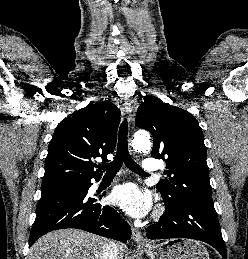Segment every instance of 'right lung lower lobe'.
<instances>
[{"label": "right lung lower lobe", "mask_w": 248, "mask_h": 259, "mask_svg": "<svg viewBox=\"0 0 248 259\" xmlns=\"http://www.w3.org/2000/svg\"><path fill=\"white\" fill-rule=\"evenodd\" d=\"M91 185L90 182L84 187L64 186L42 190L29 246L44 234L64 228L82 229L124 243L129 240L131 228L117 211L96 203L97 195L87 196Z\"/></svg>", "instance_id": "1"}]
</instances>
